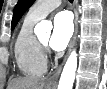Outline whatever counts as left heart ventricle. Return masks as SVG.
<instances>
[{
    "instance_id": "obj_1",
    "label": "left heart ventricle",
    "mask_w": 107,
    "mask_h": 89,
    "mask_svg": "<svg viewBox=\"0 0 107 89\" xmlns=\"http://www.w3.org/2000/svg\"><path fill=\"white\" fill-rule=\"evenodd\" d=\"M40 40H41L42 42H44V43L47 44V42H48V40H49V35H46V36L41 37Z\"/></svg>"
}]
</instances>
